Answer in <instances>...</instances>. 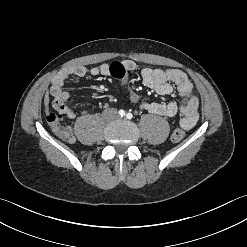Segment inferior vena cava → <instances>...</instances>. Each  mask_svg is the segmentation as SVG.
Returning a JSON list of instances; mask_svg holds the SVG:
<instances>
[{
	"mask_svg": "<svg viewBox=\"0 0 247 247\" xmlns=\"http://www.w3.org/2000/svg\"><path fill=\"white\" fill-rule=\"evenodd\" d=\"M117 115V111L115 109H107L103 112V116L105 118H114Z\"/></svg>",
	"mask_w": 247,
	"mask_h": 247,
	"instance_id": "1",
	"label": "inferior vena cava"
}]
</instances>
